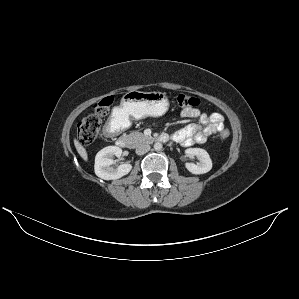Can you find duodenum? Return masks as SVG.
Masks as SVG:
<instances>
[{"label":"duodenum","mask_w":299,"mask_h":299,"mask_svg":"<svg viewBox=\"0 0 299 299\" xmlns=\"http://www.w3.org/2000/svg\"><path fill=\"white\" fill-rule=\"evenodd\" d=\"M118 131V124L115 119L110 120L104 129V134L108 137L113 136ZM169 140L168 136L161 134L156 138V141L165 143ZM117 145L119 147L125 148L129 145V140L126 137H119L117 139Z\"/></svg>","instance_id":"410a0bca"}]
</instances>
